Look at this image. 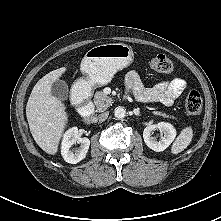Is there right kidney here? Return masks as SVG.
Segmentation results:
<instances>
[{
  "label": "right kidney",
  "instance_id": "right-kidney-1",
  "mask_svg": "<svg viewBox=\"0 0 221 221\" xmlns=\"http://www.w3.org/2000/svg\"><path fill=\"white\" fill-rule=\"evenodd\" d=\"M76 143H79L80 147L75 150L71 149ZM89 146L90 140L86 137L81 138L78 134V128L72 127L63 135L61 154L66 162L77 164L86 157Z\"/></svg>",
  "mask_w": 221,
  "mask_h": 221
}]
</instances>
